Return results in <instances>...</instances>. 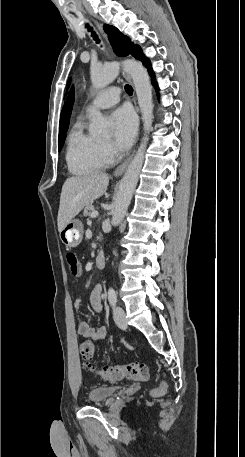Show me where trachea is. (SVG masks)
<instances>
[{
    "label": "trachea",
    "mask_w": 245,
    "mask_h": 457,
    "mask_svg": "<svg viewBox=\"0 0 245 457\" xmlns=\"http://www.w3.org/2000/svg\"><path fill=\"white\" fill-rule=\"evenodd\" d=\"M86 28H88V31H91L93 39L96 40L97 43H99L100 40L98 39V36L96 35V33L93 31L92 27H90L88 24H86ZM125 91H126V93H128V95H132L133 88L130 85L126 84Z\"/></svg>",
    "instance_id": "trachea-1"
}]
</instances>
